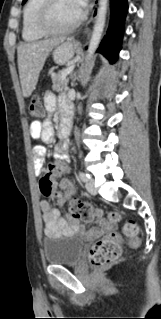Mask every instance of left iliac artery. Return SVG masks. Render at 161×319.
<instances>
[{
	"mask_svg": "<svg viewBox=\"0 0 161 319\" xmlns=\"http://www.w3.org/2000/svg\"><path fill=\"white\" fill-rule=\"evenodd\" d=\"M79 178L83 181V182H87L89 179H90V177H89V175L88 174H85V173H83V172H79Z\"/></svg>",
	"mask_w": 161,
	"mask_h": 319,
	"instance_id": "left-iliac-artery-1",
	"label": "left iliac artery"
}]
</instances>
